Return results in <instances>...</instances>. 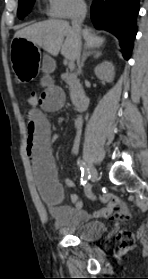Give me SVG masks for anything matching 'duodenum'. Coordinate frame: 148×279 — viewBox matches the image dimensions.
Instances as JSON below:
<instances>
[{
    "instance_id": "obj_1",
    "label": "duodenum",
    "mask_w": 148,
    "mask_h": 279,
    "mask_svg": "<svg viewBox=\"0 0 148 279\" xmlns=\"http://www.w3.org/2000/svg\"><path fill=\"white\" fill-rule=\"evenodd\" d=\"M89 102H90V99L88 96H82L75 101L74 105H75L76 109L84 110L88 107Z\"/></svg>"
}]
</instances>
